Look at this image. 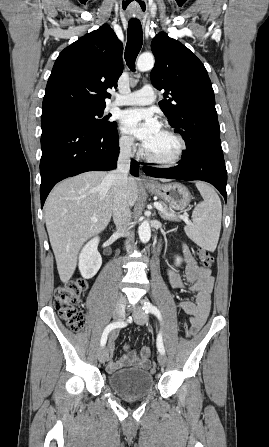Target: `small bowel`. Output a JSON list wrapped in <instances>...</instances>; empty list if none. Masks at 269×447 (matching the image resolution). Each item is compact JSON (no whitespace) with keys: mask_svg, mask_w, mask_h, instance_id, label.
<instances>
[{"mask_svg":"<svg viewBox=\"0 0 269 447\" xmlns=\"http://www.w3.org/2000/svg\"><path fill=\"white\" fill-rule=\"evenodd\" d=\"M181 249L186 260V281L173 267H170L168 271L169 281L175 289L183 290L188 288L195 294L193 301L180 300L178 307L191 316L190 321L192 325L201 328L210 312L211 294L215 284L214 276L211 269L196 263L185 245H182ZM116 337V333H112L108 340V353L110 355L107 365L108 371L113 372L126 366L147 369L149 356H143L142 354L143 347H148L146 345L142 346L138 352H126L119 359H113Z\"/></svg>","mask_w":269,"mask_h":447,"instance_id":"1","label":"small bowel"}]
</instances>
